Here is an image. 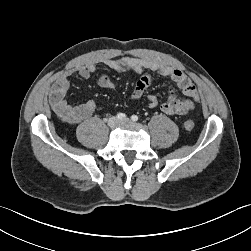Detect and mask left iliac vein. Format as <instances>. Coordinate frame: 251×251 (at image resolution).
<instances>
[{
  "instance_id": "1",
  "label": "left iliac vein",
  "mask_w": 251,
  "mask_h": 251,
  "mask_svg": "<svg viewBox=\"0 0 251 251\" xmlns=\"http://www.w3.org/2000/svg\"><path fill=\"white\" fill-rule=\"evenodd\" d=\"M128 122H129V119H124L120 121V123H128Z\"/></svg>"
}]
</instances>
